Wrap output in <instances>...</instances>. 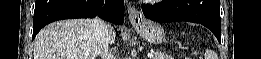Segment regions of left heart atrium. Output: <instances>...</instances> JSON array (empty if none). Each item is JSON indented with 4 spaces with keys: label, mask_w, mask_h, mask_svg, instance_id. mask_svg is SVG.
<instances>
[{
    "label": "left heart atrium",
    "mask_w": 261,
    "mask_h": 59,
    "mask_svg": "<svg viewBox=\"0 0 261 59\" xmlns=\"http://www.w3.org/2000/svg\"><path fill=\"white\" fill-rule=\"evenodd\" d=\"M144 2H154V0H144Z\"/></svg>",
    "instance_id": "1"
}]
</instances>
